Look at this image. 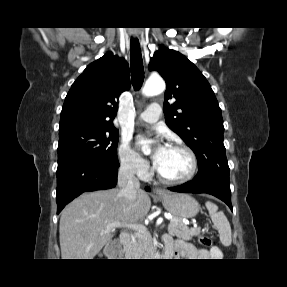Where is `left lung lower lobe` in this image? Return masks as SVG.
Wrapping results in <instances>:
<instances>
[{
  "mask_svg": "<svg viewBox=\"0 0 287 287\" xmlns=\"http://www.w3.org/2000/svg\"><path fill=\"white\" fill-rule=\"evenodd\" d=\"M171 191L180 193H207L224 201L231 210V191L229 181L214 178L199 181H190L183 185L169 188Z\"/></svg>",
  "mask_w": 287,
  "mask_h": 287,
  "instance_id": "1",
  "label": "left lung lower lobe"
}]
</instances>
